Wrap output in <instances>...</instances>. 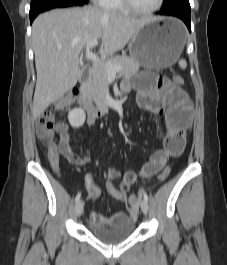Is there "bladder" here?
I'll return each instance as SVG.
<instances>
[{"instance_id":"bladder-1","label":"bladder","mask_w":227,"mask_h":265,"mask_svg":"<svg viewBox=\"0 0 227 265\" xmlns=\"http://www.w3.org/2000/svg\"><path fill=\"white\" fill-rule=\"evenodd\" d=\"M88 230L98 240L109 244H115L133 235L135 223L133 220H128L123 224L108 227L90 224Z\"/></svg>"}]
</instances>
